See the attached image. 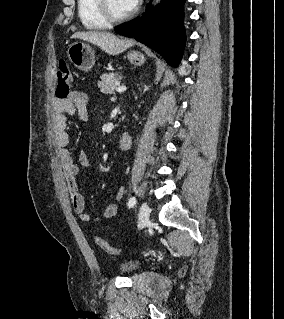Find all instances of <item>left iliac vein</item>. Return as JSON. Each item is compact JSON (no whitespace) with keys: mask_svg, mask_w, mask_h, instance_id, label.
Here are the masks:
<instances>
[{"mask_svg":"<svg viewBox=\"0 0 284 319\" xmlns=\"http://www.w3.org/2000/svg\"><path fill=\"white\" fill-rule=\"evenodd\" d=\"M150 209L148 205L143 202L139 209L138 227L140 229L146 227L149 224Z\"/></svg>","mask_w":284,"mask_h":319,"instance_id":"1","label":"left iliac vein"}]
</instances>
